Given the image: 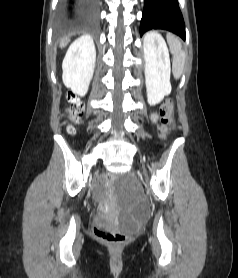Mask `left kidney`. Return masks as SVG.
Returning <instances> with one entry per match:
<instances>
[{
    "instance_id": "obj_1",
    "label": "left kidney",
    "mask_w": 238,
    "mask_h": 278,
    "mask_svg": "<svg viewBox=\"0 0 238 278\" xmlns=\"http://www.w3.org/2000/svg\"><path fill=\"white\" fill-rule=\"evenodd\" d=\"M143 50L147 99L156 105L171 92L169 52L163 38L155 33L145 36Z\"/></svg>"
}]
</instances>
